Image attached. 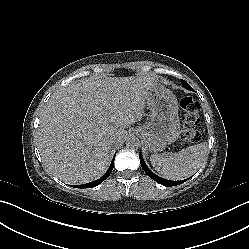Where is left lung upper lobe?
Segmentation results:
<instances>
[{
    "label": "left lung upper lobe",
    "instance_id": "5c2ea615",
    "mask_svg": "<svg viewBox=\"0 0 249 249\" xmlns=\"http://www.w3.org/2000/svg\"><path fill=\"white\" fill-rule=\"evenodd\" d=\"M181 82H182V85H183L186 89H188V90H191V89H192V88L188 85V83H187L186 81L181 80Z\"/></svg>",
    "mask_w": 249,
    "mask_h": 249
}]
</instances>
